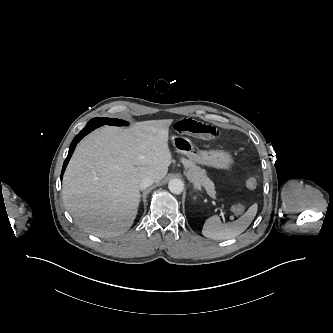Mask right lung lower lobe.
Instances as JSON below:
<instances>
[{
	"label": "right lung lower lobe",
	"instance_id": "1",
	"mask_svg": "<svg viewBox=\"0 0 333 333\" xmlns=\"http://www.w3.org/2000/svg\"><path fill=\"white\" fill-rule=\"evenodd\" d=\"M102 126L101 124H97V123H91V122H88L86 127L83 128L78 135L75 136V138L73 139L71 145H70V148H69V152H68V156L67 158L65 159L64 161V164H63V168H62V174L67 166V163L76 147V144L85 136L87 135L88 133H90L92 130L96 129L97 127H100ZM62 174H61V177H62Z\"/></svg>",
	"mask_w": 333,
	"mask_h": 333
}]
</instances>
